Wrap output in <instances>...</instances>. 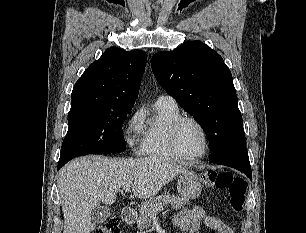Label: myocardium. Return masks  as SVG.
<instances>
[{
	"mask_svg": "<svg viewBox=\"0 0 306 233\" xmlns=\"http://www.w3.org/2000/svg\"><path fill=\"white\" fill-rule=\"evenodd\" d=\"M188 122L195 124L200 129L203 135V138H204V150L200 155H197V156H186L182 154V152L180 151L178 147L179 130L185 123H188ZM168 141H169V145H170V148L173 154L178 159L187 161V162H194V161L203 159L208 154L209 147H210L209 135L207 133L206 128L199 120L191 116H181L171 124L169 133H168Z\"/></svg>",
	"mask_w": 306,
	"mask_h": 233,
	"instance_id": "1",
	"label": "myocardium"
}]
</instances>
